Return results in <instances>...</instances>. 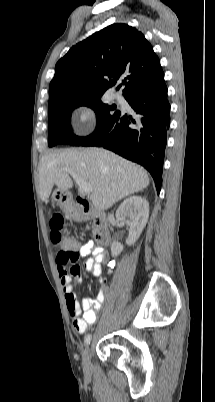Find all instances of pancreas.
I'll return each mask as SVG.
<instances>
[{
  "label": "pancreas",
  "mask_w": 215,
  "mask_h": 402,
  "mask_svg": "<svg viewBox=\"0 0 215 402\" xmlns=\"http://www.w3.org/2000/svg\"><path fill=\"white\" fill-rule=\"evenodd\" d=\"M95 231H96L95 228H93V233H95Z\"/></svg>",
  "instance_id": "obj_1"
}]
</instances>
